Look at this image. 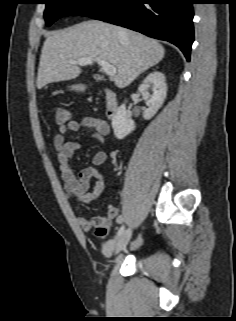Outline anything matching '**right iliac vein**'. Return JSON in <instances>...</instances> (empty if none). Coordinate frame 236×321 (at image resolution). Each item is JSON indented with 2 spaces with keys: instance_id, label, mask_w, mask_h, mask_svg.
Masks as SVG:
<instances>
[{
  "instance_id": "obj_1",
  "label": "right iliac vein",
  "mask_w": 236,
  "mask_h": 321,
  "mask_svg": "<svg viewBox=\"0 0 236 321\" xmlns=\"http://www.w3.org/2000/svg\"><path fill=\"white\" fill-rule=\"evenodd\" d=\"M132 236V230L131 229H127L126 231H124L121 236L117 239L116 243H115V248H114V252L115 254H118L120 251H122L128 244V242L130 241Z\"/></svg>"
}]
</instances>
